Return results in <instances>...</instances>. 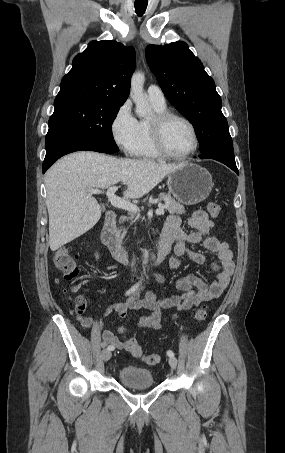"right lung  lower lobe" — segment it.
I'll list each match as a JSON object with an SVG mask.
<instances>
[{"instance_id": "obj_1", "label": "right lung lower lobe", "mask_w": 285, "mask_h": 453, "mask_svg": "<svg viewBox=\"0 0 285 453\" xmlns=\"http://www.w3.org/2000/svg\"><path fill=\"white\" fill-rule=\"evenodd\" d=\"M46 156L43 162V173L61 156L75 151L89 150L101 153H114L103 148L95 141L84 136L71 125L56 119L49 120L46 135Z\"/></svg>"}]
</instances>
